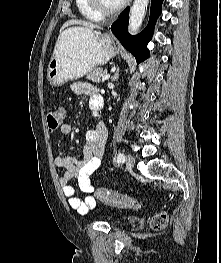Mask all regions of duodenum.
Masks as SVG:
<instances>
[{"mask_svg":"<svg viewBox=\"0 0 221 263\" xmlns=\"http://www.w3.org/2000/svg\"><path fill=\"white\" fill-rule=\"evenodd\" d=\"M102 108V100L98 101L95 106L93 107L94 111L99 112Z\"/></svg>","mask_w":221,"mask_h":263,"instance_id":"duodenum-1","label":"duodenum"}]
</instances>
